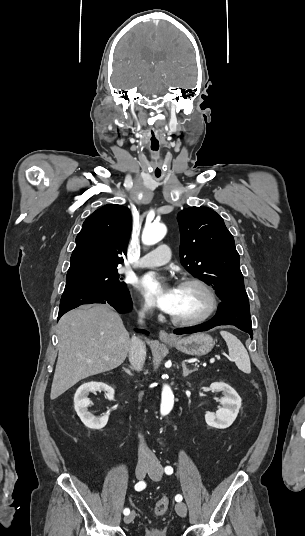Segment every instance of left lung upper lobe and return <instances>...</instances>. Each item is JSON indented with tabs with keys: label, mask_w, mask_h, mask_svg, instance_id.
Here are the masks:
<instances>
[{
	"label": "left lung upper lobe",
	"mask_w": 305,
	"mask_h": 536,
	"mask_svg": "<svg viewBox=\"0 0 305 536\" xmlns=\"http://www.w3.org/2000/svg\"><path fill=\"white\" fill-rule=\"evenodd\" d=\"M177 219L186 270L212 285L222 301L248 299L234 238L222 217L207 207H190Z\"/></svg>",
	"instance_id": "left-lung-upper-lobe-1"
}]
</instances>
